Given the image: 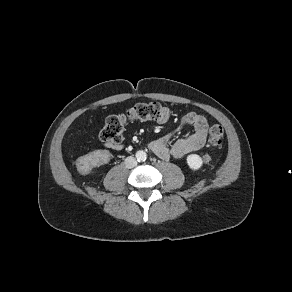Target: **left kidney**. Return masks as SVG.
Segmentation results:
<instances>
[{
    "label": "left kidney",
    "instance_id": "5707ae66",
    "mask_svg": "<svg viewBox=\"0 0 292 292\" xmlns=\"http://www.w3.org/2000/svg\"><path fill=\"white\" fill-rule=\"evenodd\" d=\"M187 164L192 170H198L201 168L203 161L197 154H190L187 156Z\"/></svg>",
    "mask_w": 292,
    "mask_h": 292
}]
</instances>
